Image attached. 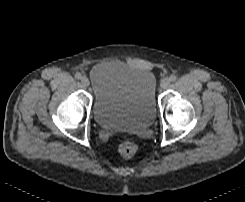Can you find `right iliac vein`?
<instances>
[{
  "label": "right iliac vein",
  "instance_id": "obj_1",
  "mask_svg": "<svg viewBox=\"0 0 245 202\" xmlns=\"http://www.w3.org/2000/svg\"><path fill=\"white\" fill-rule=\"evenodd\" d=\"M81 83H82L83 86H85V87H88L89 84H90V82H89V80H88V78H87L86 76H82V77H81Z\"/></svg>",
  "mask_w": 245,
  "mask_h": 202
}]
</instances>
